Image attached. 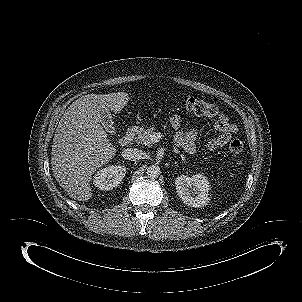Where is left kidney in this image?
I'll use <instances>...</instances> for the list:
<instances>
[{
	"mask_svg": "<svg viewBox=\"0 0 302 302\" xmlns=\"http://www.w3.org/2000/svg\"><path fill=\"white\" fill-rule=\"evenodd\" d=\"M175 186L178 196L186 205L199 208L208 204L210 185L204 175H181L176 178Z\"/></svg>",
	"mask_w": 302,
	"mask_h": 302,
	"instance_id": "1",
	"label": "left kidney"
}]
</instances>
